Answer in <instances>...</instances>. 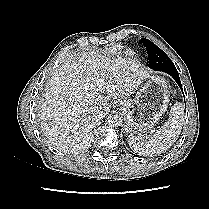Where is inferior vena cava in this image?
I'll return each instance as SVG.
<instances>
[{
	"mask_svg": "<svg viewBox=\"0 0 209 209\" xmlns=\"http://www.w3.org/2000/svg\"><path fill=\"white\" fill-rule=\"evenodd\" d=\"M93 116H94V118H100L101 111L98 109H93Z\"/></svg>",
	"mask_w": 209,
	"mask_h": 209,
	"instance_id": "602c4592",
	"label": "inferior vena cava"
}]
</instances>
